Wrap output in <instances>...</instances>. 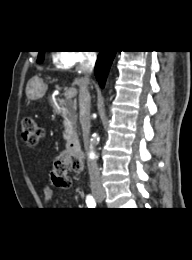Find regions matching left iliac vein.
Instances as JSON below:
<instances>
[{"instance_id": "1", "label": "left iliac vein", "mask_w": 192, "mask_h": 260, "mask_svg": "<svg viewBox=\"0 0 192 260\" xmlns=\"http://www.w3.org/2000/svg\"><path fill=\"white\" fill-rule=\"evenodd\" d=\"M102 200H103V198H101V199H98V198H97V201H98L99 203H101Z\"/></svg>"}]
</instances>
